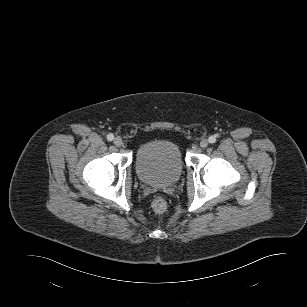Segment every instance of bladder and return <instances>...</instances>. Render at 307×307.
<instances>
[{
    "label": "bladder",
    "instance_id": "bladder-1",
    "mask_svg": "<svg viewBox=\"0 0 307 307\" xmlns=\"http://www.w3.org/2000/svg\"><path fill=\"white\" fill-rule=\"evenodd\" d=\"M180 146L171 140L158 139L141 145L135 156V171L147 185L169 186L176 183L184 170Z\"/></svg>",
    "mask_w": 307,
    "mask_h": 307
}]
</instances>
